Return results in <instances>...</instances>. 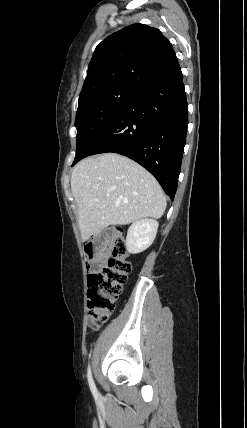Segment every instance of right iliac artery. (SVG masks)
I'll return each mask as SVG.
<instances>
[{
  "label": "right iliac artery",
  "instance_id": "82829eb1",
  "mask_svg": "<svg viewBox=\"0 0 247 428\" xmlns=\"http://www.w3.org/2000/svg\"><path fill=\"white\" fill-rule=\"evenodd\" d=\"M87 376H88V382H89L90 389H91L93 395L96 396L97 395V390H96V386H95L93 378H92V373H91L90 366H88V374H87Z\"/></svg>",
  "mask_w": 247,
  "mask_h": 428
}]
</instances>
